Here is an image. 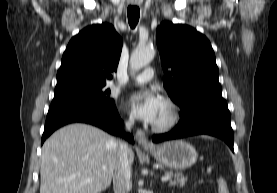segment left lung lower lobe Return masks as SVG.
Returning a JSON list of instances; mask_svg holds the SVG:
<instances>
[{
  "label": "left lung lower lobe",
  "mask_w": 277,
  "mask_h": 193,
  "mask_svg": "<svg viewBox=\"0 0 277 193\" xmlns=\"http://www.w3.org/2000/svg\"><path fill=\"white\" fill-rule=\"evenodd\" d=\"M199 134L219 137L234 151L231 116L222 96L205 97L196 101L181 113L180 121L173 131L154 135L152 141L162 142Z\"/></svg>",
  "instance_id": "obj_1"
}]
</instances>
